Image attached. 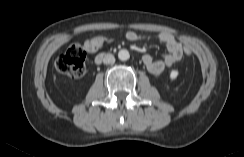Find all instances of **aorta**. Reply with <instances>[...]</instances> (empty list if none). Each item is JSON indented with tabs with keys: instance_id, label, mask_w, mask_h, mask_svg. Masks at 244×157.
Masks as SVG:
<instances>
[{
	"instance_id": "aorta-1",
	"label": "aorta",
	"mask_w": 244,
	"mask_h": 157,
	"mask_svg": "<svg viewBox=\"0 0 244 157\" xmlns=\"http://www.w3.org/2000/svg\"><path fill=\"white\" fill-rule=\"evenodd\" d=\"M118 58L121 60V61H126L130 58V54H129V51L126 50V49H122L118 52Z\"/></svg>"
}]
</instances>
